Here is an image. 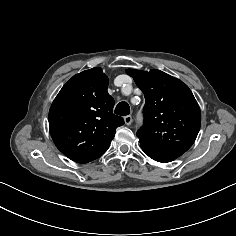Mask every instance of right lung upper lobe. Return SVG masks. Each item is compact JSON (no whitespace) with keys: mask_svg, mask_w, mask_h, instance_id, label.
Listing matches in <instances>:
<instances>
[{"mask_svg":"<svg viewBox=\"0 0 236 236\" xmlns=\"http://www.w3.org/2000/svg\"><path fill=\"white\" fill-rule=\"evenodd\" d=\"M108 77L101 68L74 75L60 90L49 110V130L57 148L69 159L88 163L103 155L124 124L113 114Z\"/></svg>","mask_w":236,"mask_h":236,"instance_id":"right-lung-upper-lobe-1","label":"right lung upper lobe"}]
</instances>
